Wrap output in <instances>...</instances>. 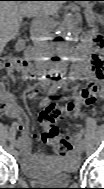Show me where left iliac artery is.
I'll return each instance as SVG.
<instances>
[{
	"label": "left iliac artery",
	"mask_w": 104,
	"mask_h": 189,
	"mask_svg": "<svg viewBox=\"0 0 104 189\" xmlns=\"http://www.w3.org/2000/svg\"><path fill=\"white\" fill-rule=\"evenodd\" d=\"M75 116H76V114H75ZM78 136H80V137H79L80 142H81L82 144H84V139L82 138L83 133H78Z\"/></svg>",
	"instance_id": "left-iliac-artery-1"
}]
</instances>
